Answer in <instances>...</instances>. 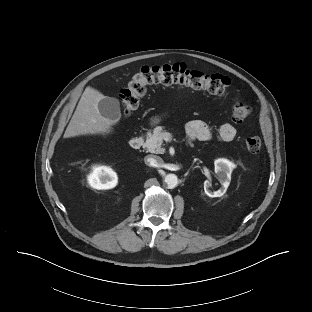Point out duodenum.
<instances>
[{
    "instance_id": "410a0bca",
    "label": "duodenum",
    "mask_w": 312,
    "mask_h": 312,
    "mask_svg": "<svg viewBox=\"0 0 312 312\" xmlns=\"http://www.w3.org/2000/svg\"><path fill=\"white\" fill-rule=\"evenodd\" d=\"M144 139L140 135H136L130 138L129 145L133 149H139L142 147Z\"/></svg>"
}]
</instances>
